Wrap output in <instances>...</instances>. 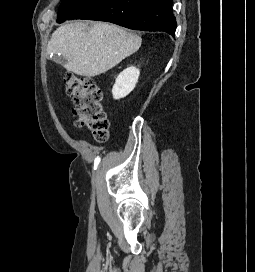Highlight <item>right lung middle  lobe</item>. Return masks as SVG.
Segmentation results:
<instances>
[{"label": "right lung middle lobe", "instance_id": "obj_1", "mask_svg": "<svg viewBox=\"0 0 255 272\" xmlns=\"http://www.w3.org/2000/svg\"><path fill=\"white\" fill-rule=\"evenodd\" d=\"M90 0H63L59 8L57 22L65 21L70 15L80 9L83 5Z\"/></svg>", "mask_w": 255, "mask_h": 272}]
</instances>
